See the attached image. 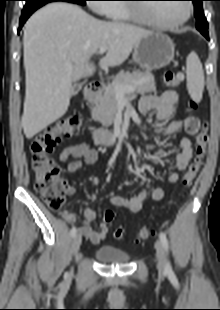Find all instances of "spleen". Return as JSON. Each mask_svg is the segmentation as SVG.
I'll use <instances>...</instances> for the list:
<instances>
[{
	"mask_svg": "<svg viewBox=\"0 0 220 310\" xmlns=\"http://www.w3.org/2000/svg\"><path fill=\"white\" fill-rule=\"evenodd\" d=\"M187 88L191 98L195 101L202 99L204 89V75L201 61L196 53H190L186 60Z\"/></svg>",
	"mask_w": 220,
	"mask_h": 310,
	"instance_id": "3e777b00",
	"label": "spleen"
}]
</instances>
